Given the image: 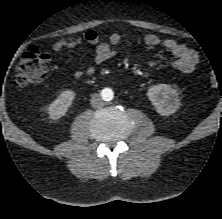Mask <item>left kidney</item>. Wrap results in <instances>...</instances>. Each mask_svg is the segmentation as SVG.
<instances>
[{
    "label": "left kidney",
    "instance_id": "1",
    "mask_svg": "<svg viewBox=\"0 0 222 219\" xmlns=\"http://www.w3.org/2000/svg\"><path fill=\"white\" fill-rule=\"evenodd\" d=\"M147 96L162 116L174 114L180 106L178 93L168 84H158L148 89Z\"/></svg>",
    "mask_w": 222,
    "mask_h": 219
}]
</instances>
